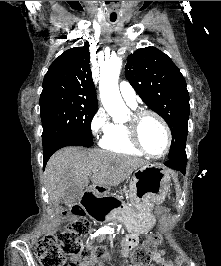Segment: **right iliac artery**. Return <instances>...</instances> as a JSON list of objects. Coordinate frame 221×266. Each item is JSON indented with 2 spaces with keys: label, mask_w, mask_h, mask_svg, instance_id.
I'll list each match as a JSON object with an SVG mask.
<instances>
[{
  "label": "right iliac artery",
  "mask_w": 221,
  "mask_h": 266,
  "mask_svg": "<svg viewBox=\"0 0 221 266\" xmlns=\"http://www.w3.org/2000/svg\"><path fill=\"white\" fill-rule=\"evenodd\" d=\"M105 233H107V231H105V230H98L96 236H98L99 234H105ZM96 236H94V237H96Z\"/></svg>",
  "instance_id": "right-iliac-artery-1"
}]
</instances>
